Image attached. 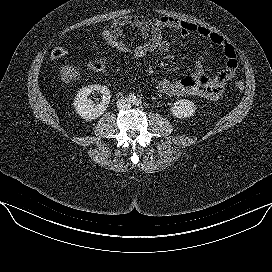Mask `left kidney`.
<instances>
[{"label": "left kidney", "mask_w": 272, "mask_h": 272, "mask_svg": "<svg viewBox=\"0 0 272 272\" xmlns=\"http://www.w3.org/2000/svg\"><path fill=\"white\" fill-rule=\"evenodd\" d=\"M170 110L174 117L183 119L193 116L196 110V106L190 100L181 99L176 101Z\"/></svg>", "instance_id": "1"}]
</instances>
